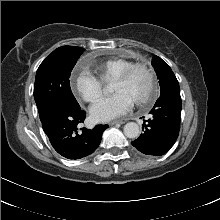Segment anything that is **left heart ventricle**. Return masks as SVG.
I'll return each mask as SVG.
<instances>
[{"instance_id": "1", "label": "left heart ventricle", "mask_w": 220, "mask_h": 220, "mask_svg": "<svg viewBox=\"0 0 220 220\" xmlns=\"http://www.w3.org/2000/svg\"><path fill=\"white\" fill-rule=\"evenodd\" d=\"M148 88V75L143 70L134 72L126 82H115L113 85V90L116 93H126L134 102L142 99L146 95Z\"/></svg>"}]
</instances>
